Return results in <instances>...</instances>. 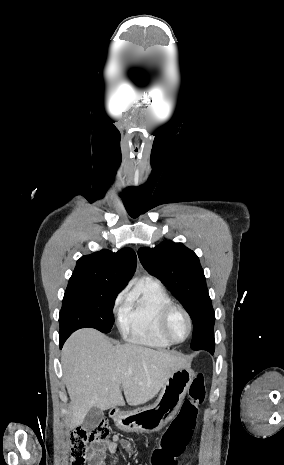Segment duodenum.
I'll return each instance as SVG.
<instances>
[{
	"label": "duodenum",
	"mask_w": 284,
	"mask_h": 465,
	"mask_svg": "<svg viewBox=\"0 0 284 465\" xmlns=\"http://www.w3.org/2000/svg\"><path fill=\"white\" fill-rule=\"evenodd\" d=\"M127 414L126 411L116 410L111 412V417L115 419L117 423L120 422L121 418Z\"/></svg>",
	"instance_id": "410a0bca"
}]
</instances>
